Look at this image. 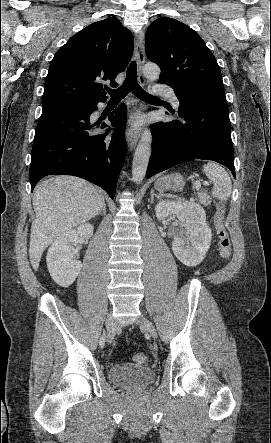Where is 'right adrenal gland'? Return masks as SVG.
I'll use <instances>...</instances> for the list:
<instances>
[{"mask_svg":"<svg viewBox=\"0 0 271 443\" xmlns=\"http://www.w3.org/2000/svg\"><path fill=\"white\" fill-rule=\"evenodd\" d=\"M100 214H102V216H106V206H104L103 210H101L97 216H100Z\"/></svg>","mask_w":271,"mask_h":443,"instance_id":"1","label":"right adrenal gland"}]
</instances>
